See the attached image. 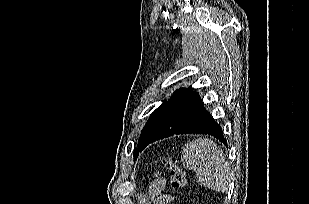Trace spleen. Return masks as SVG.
Returning <instances> with one entry per match:
<instances>
[{
	"mask_svg": "<svg viewBox=\"0 0 309 204\" xmlns=\"http://www.w3.org/2000/svg\"><path fill=\"white\" fill-rule=\"evenodd\" d=\"M184 167L196 172L197 183L213 191H226L231 169L223 151L209 139L198 138L187 143L181 155Z\"/></svg>",
	"mask_w": 309,
	"mask_h": 204,
	"instance_id": "obj_1",
	"label": "spleen"
}]
</instances>
